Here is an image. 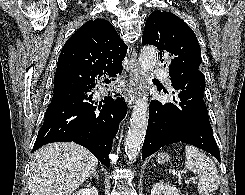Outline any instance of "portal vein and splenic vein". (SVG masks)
<instances>
[{"label":"portal vein and splenic vein","instance_id":"portal-vein-and-splenic-vein-1","mask_svg":"<svg viewBox=\"0 0 245 195\" xmlns=\"http://www.w3.org/2000/svg\"><path fill=\"white\" fill-rule=\"evenodd\" d=\"M192 180L195 181L196 180V177H192Z\"/></svg>","mask_w":245,"mask_h":195}]
</instances>
